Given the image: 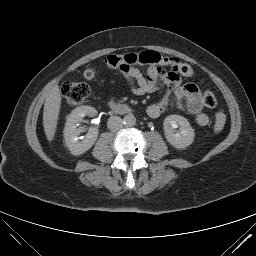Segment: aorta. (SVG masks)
<instances>
[{
    "label": "aorta",
    "instance_id": "obj_1",
    "mask_svg": "<svg viewBox=\"0 0 256 256\" xmlns=\"http://www.w3.org/2000/svg\"><path fill=\"white\" fill-rule=\"evenodd\" d=\"M123 122L126 126H133L136 123V117L132 114H128L123 118Z\"/></svg>",
    "mask_w": 256,
    "mask_h": 256
}]
</instances>
